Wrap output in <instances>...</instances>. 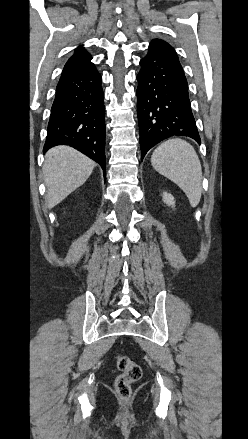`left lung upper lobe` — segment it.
I'll use <instances>...</instances> for the list:
<instances>
[{"instance_id":"5c2ea615","label":"left lung upper lobe","mask_w":248,"mask_h":439,"mask_svg":"<svg viewBox=\"0 0 248 439\" xmlns=\"http://www.w3.org/2000/svg\"><path fill=\"white\" fill-rule=\"evenodd\" d=\"M154 41H161V42H165V41H162V40H159V39H155ZM166 43V42H165Z\"/></svg>"}]
</instances>
